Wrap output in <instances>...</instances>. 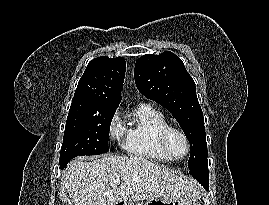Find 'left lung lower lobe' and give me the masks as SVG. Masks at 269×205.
Here are the masks:
<instances>
[{
  "mask_svg": "<svg viewBox=\"0 0 269 205\" xmlns=\"http://www.w3.org/2000/svg\"><path fill=\"white\" fill-rule=\"evenodd\" d=\"M189 173L197 179L201 185L204 186V188L208 189L209 181H208V164H202L192 170L189 171Z\"/></svg>",
  "mask_w": 269,
  "mask_h": 205,
  "instance_id": "obj_1",
  "label": "left lung lower lobe"
}]
</instances>
